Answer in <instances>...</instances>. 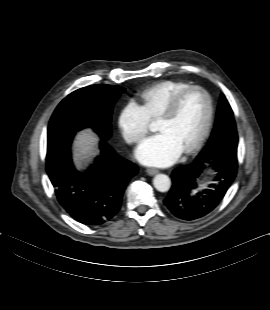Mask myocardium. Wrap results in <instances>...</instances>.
<instances>
[{
    "instance_id": "obj_1",
    "label": "myocardium",
    "mask_w": 270,
    "mask_h": 310,
    "mask_svg": "<svg viewBox=\"0 0 270 310\" xmlns=\"http://www.w3.org/2000/svg\"><path fill=\"white\" fill-rule=\"evenodd\" d=\"M192 91H200L202 92L207 101V114H206V120L203 126V129L199 136L196 138V140L185 150L182 151L183 154H191L195 152L197 149H199L203 143L206 141L209 132L211 130L212 122H213V116H214V105L212 101V97L209 94V92L203 88L202 86L198 85H191L188 86L179 92H177L169 101L167 106L162 110V112L158 116V120H169L171 119L177 112L180 102L182 98L189 92Z\"/></svg>"
}]
</instances>
